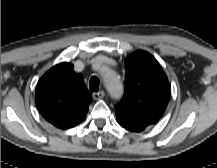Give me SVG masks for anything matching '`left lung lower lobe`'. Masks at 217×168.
Wrapping results in <instances>:
<instances>
[{"mask_svg":"<svg viewBox=\"0 0 217 168\" xmlns=\"http://www.w3.org/2000/svg\"><path fill=\"white\" fill-rule=\"evenodd\" d=\"M122 127H123V128H125V129H127V130L134 131V130H132V128H131V127L124 126V125H122Z\"/></svg>","mask_w":217,"mask_h":168,"instance_id":"0a47b994","label":"left lung lower lobe"}]
</instances>
